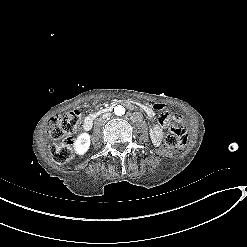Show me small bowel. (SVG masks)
Listing matches in <instances>:
<instances>
[{
    "label": "small bowel",
    "mask_w": 247,
    "mask_h": 247,
    "mask_svg": "<svg viewBox=\"0 0 247 247\" xmlns=\"http://www.w3.org/2000/svg\"><path fill=\"white\" fill-rule=\"evenodd\" d=\"M148 118L152 119L156 115V110L152 107V104H144L141 106ZM174 120L178 123H182L183 119L179 116H174ZM163 127L160 122L155 124L151 129V140L154 145H159L163 139Z\"/></svg>",
    "instance_id": "small-bowel-1"
}]
</instances>
